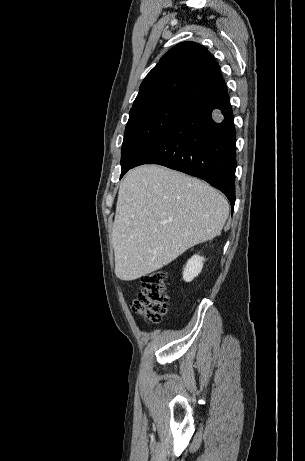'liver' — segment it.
<instances>
[{
    "label": "liver",
    "mask_w": 305,
    "mask_h": 461,
    "mask_svg": "<svg viewBox=\"0 0 305 461\" xmlns=\"http://www.w3.org/2000/svg\"><path fill=\"white\" fill-rule=\"evenodd\" d=\"M228 214L225 197L197 178L157 165L130 170L112 229L116 276L132 281L159 270L220 235Z\"/></svg>",
    "instance_id": "liver-1"
}]
</instances>
